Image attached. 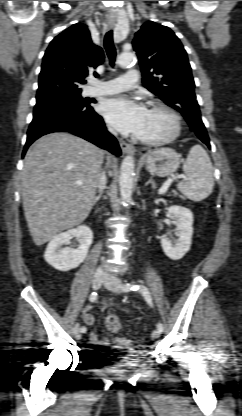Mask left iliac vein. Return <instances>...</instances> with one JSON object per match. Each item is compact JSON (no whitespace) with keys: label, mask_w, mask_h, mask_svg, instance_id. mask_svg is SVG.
Instances as JSON below:
<instances>
[{"label":"left iliac vein","mask_w":242,"mask_h":416,"mask_svg":"<svg viewBox=\"0 0 242 416\" xmlns=\"http://www.w3.org/2000/svg\"><path fill=\"white\" fill-rule=\"evenodd\" d=\"M121 282L120 279H118L117 277L111 275V274H106L104 276V280H103V284L105 287H107L109 290L115 292V293H119L120 289H119V283ZM160 331L158 329H155L152 331L151 333V337L153 339H157L160 336Z\"/></svg>","instance_id":"1"}]
</instances>
